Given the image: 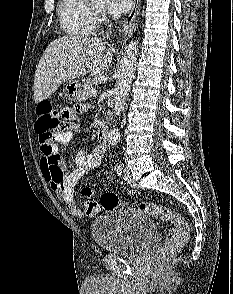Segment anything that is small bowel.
I'll return each instance as SVG.
<instances>
[{
    "instance_id": "1",
    "label": "small bowel",
    "mask_w": 233,
    "mask_h": 294,
    "mask_svg": "<svg viewBox=\"0 0 233 294\" xmlns=\"http://www.w3.org/2000/svg\"><path fill=\"white\" fill-rule=\"evenodd\" d=\"M60 129H67L55 135L51 149H42L40 167L44 178L48 181L52 191L64 203L68 211L78 218L94 216L99 211L98 204L91 200L94 190L92 187L82 189V195L86 198L82 209L77 207L74 192L75 187L86 173L95 169L102 161V149L96 148L93 152L80 150L75 156H63L56 143L66 146L72 139L79 122V108L61 109ZM46 154L56 155L49 156ZM73 161V163H66ZM66 168H72L66 171Z\"/></svg>"
}]
</instances>
